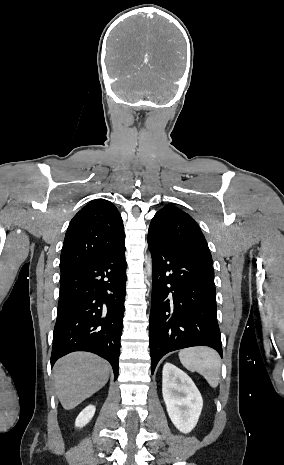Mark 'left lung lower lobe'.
Wrapping results in <instances>:
<instances>
[{
	"label": "left lung lower lobe",
	"mask_w": 284,
	"mask_h": 465,
	"mask_svg": "<svg viewBox=\"0 0 284 465\" xmlns=\"http://www.w3.org/2000/svg\"><path fill=\"white\" fill-rule=\"evenodd\" d=\"M153 284L149 321L152 374L168 352L209 346L222 357L212 264L148 237Z\"/></svg>",
	"instance_id": "obj_1"
}]
</instances>
